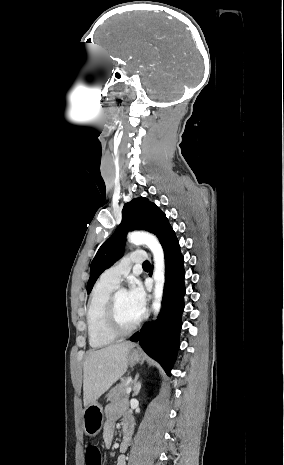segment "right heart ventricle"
Here are the masks:
<instances>
[{
	"mask_svg": "<svg viewBox=\"0 0 284 465\" xmlns=\"http://www.w3.org/2000/svg\"><path fill=\"white\" fill-rule=\"evenodd\" d=\"M116 287L99 279L90 292L85 314L90 346H110L116 341L105 328L108 301Z\"/></svg>",
	"mask_w": 284,
	"mask_h": 465,
	"instance_id": "1",
	"label": "right heart ventricle"
}]
</instances>
